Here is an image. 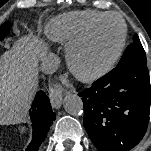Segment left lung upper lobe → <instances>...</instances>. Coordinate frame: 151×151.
Segmentation results:
<instances>
[{
    "label": "left lung upper lobe",
    "mask_w": 151,
    "mask_h": 151,
    "mask_svg": "<svg viewBox=\"0 0 151 151\" xmlns=\"http://www.w3.org/2000/svg\"><path fill=\"white\" fill-rule=\"evenodd\" d=\"M132 61L147 62L146 54H145L143 46L139 40L138 35H135L133 37V43L130 44L126 48V50H125L120 62L118 63L117 67L122 66V65L129 63V62H132Z\"/></svg>",
    "instance_id": "left-lung-upper-lobe-1"
}]
</instances>
